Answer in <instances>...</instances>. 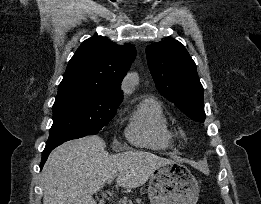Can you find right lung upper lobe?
<instances>
[{"label": "right lung upper lobe", "mask_w": 261, "mask_h": 204, "mask_svg": "<svg viewBox=\"0 0 261 204\" xmlns=\"http://www.w3.org/2000/svg\"><path fill=\"white\" fill-rule=\"evenodd\" d=\"M135 54V47L129 43L117 45L103 37L85 40L70 59L57 95L88 91L122 101L121 82Z\"/></svg>", "instance_id": "1"}]
</instances>
